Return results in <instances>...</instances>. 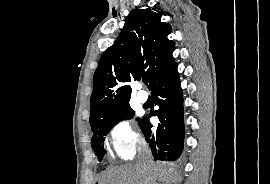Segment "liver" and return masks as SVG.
Wrapping results in <instances>:
<instances>
[{
    "instance_id": "obj_1",
    "label": "liver",
    "mask_w": 270,
    "mask_h": 184,
    "mask_svg": "<svg viewBox=\"0 0 270 184\" xmlns=\"http://www.w3.org/2000/svg\"><path fill=\"white\" fill-rule=\"evenodd\" d=\"M158 179L159 184H171L177 181V174L173 169L163 165H156L148 169L140 164L121 165L107 169L99 180V184H157L152 183Z\"/></svg>"
}]
</instances>
